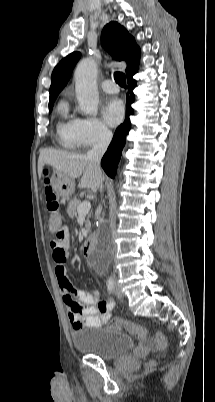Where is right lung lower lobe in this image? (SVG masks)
Instances as JSON below:
<instances>
[{"label": "right lung lower lobe", "mask_w": 215, "mask_h": 402, "mask_svg": "<svg viewBox=\"0 0 215 402\" xmlns=\"http://www.w3.org/2000/svg\"><path fill=\"white\" fill-rule=\"evenodd\" d=\"M128 81V92L127 99H126V119L123 124H121L114 134V137L104 154L101 160V166L103 167L104 171L107 173L108 176L114 178L118 162L121 157V152L125 146V137L128 134L131 123L129 121V116L133 115L134 111L131 107V104L134 102L135 96L132 90L136 87V81L129 77L127 78Z\"/></svg>", "instance_id": "obj_1"}]
</instances>
